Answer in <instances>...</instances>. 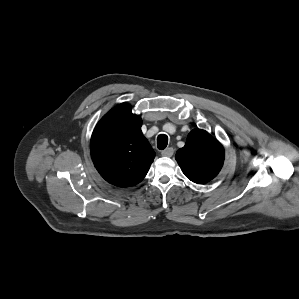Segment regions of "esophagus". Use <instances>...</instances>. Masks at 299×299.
Masks as SVG:
<instances>
[{
	"label": "esophagus",
	"instance_id": "1",
	"mask_svg": "<svg viewBox=\"0 0 299 299\" xmlns=\"http://www.w3.org/2000/svg\"><path fill=\"white\" fill-rule=\"evenodd\" d=\"M174 154V149L172 147H168L161 152L162 156L171 157Z\"/></svg>",
	"mask_w": 299,
	"mask_h": 299
}]
</instances>
